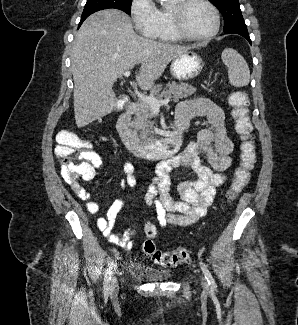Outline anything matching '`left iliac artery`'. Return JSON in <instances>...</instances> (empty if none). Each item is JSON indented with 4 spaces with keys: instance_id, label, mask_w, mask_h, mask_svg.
Instances as JSON below:
<instances>
[{
    "instance_id": "obj_1",
    "label": "left iliac artery",
    "mask_w": 298,
    "mask_h": 325,
    "mask_svg": "<svg viewBox=\"0 0 298 325\" xmlns=\"http://www.w3.org/2000/svg\"><path fill=\"white\" fill-rule=\"evenodd\" d=\"M200 266H201V269H202V271H203V273H204V275H205V278H206L207 281H208V284H209L212 288H214V287L216 286V283H215V281H214V279H213V277H212L210 271L208 270L207 265H206L204 262L201 261V262H200Z\"/></svg>"
}]
</instances>
